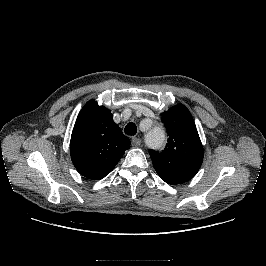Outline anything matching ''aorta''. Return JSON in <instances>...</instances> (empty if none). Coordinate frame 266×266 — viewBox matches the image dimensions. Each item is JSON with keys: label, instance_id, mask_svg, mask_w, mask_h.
Here are the masks:
<instances>
[{"label": "aorta", "instance_id": "1", "mask_svg": "<svg viewBox=\"0 0 266 266\" xmlns=\"http://www.w3.org/2000/svg\"><path fill=\"white\" fill-rule=\"evenodd\" d=\"M165 133L159 126H154L145 136V143L151 148H159L165 142Z\"/></svg>", "mask_w": 266, "mask_h": 266}]
</instances>
